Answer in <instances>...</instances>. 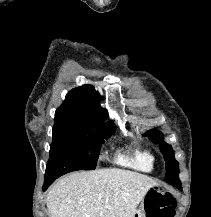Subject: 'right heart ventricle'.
Instances as JSON below:
<instances>
[{
	"instance_id": "right-heart-ventricle-1",
	"label": "right heart ventricle",
	"mask_w": 211,
	"mask_h": 217,
	"mask_svg": "<svg viewBox=\"0 0 211 217\" xmlns=\"http://www.w3.org/2000/svg\"><path fill=\"white\" fill-rule=\"evenodd\" d=\"M117 162L143 172H151L154 169L155 157L150 149L135 146L130 152L118 154Z\"/></svg>"
}]
</instances>
